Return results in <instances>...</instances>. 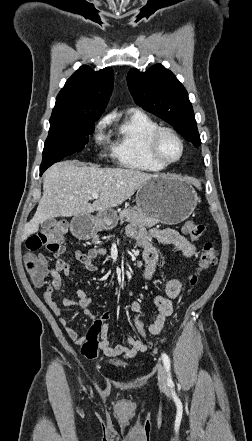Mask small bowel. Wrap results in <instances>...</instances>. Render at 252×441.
I'll return each instance as SVG.
<instances>
[{
  "label": "small bowel",
  "instance_id": "c3829d8e",
  "mask_svg": "<svg viewBox=\"0 0 252 441\" xmlns=\"http://www.w3.org/2000/svg\"><path fill=\"white\" fill-rule=\"evenodd\" d=\"M129 235L134 238L138 245L143 249L144 259V277L150 280L155 272L158 262V251L153 245L154 239L158 240L164 245L173 246L175 249L181 251L186 258H191L195 254V246L188 241L179 232L173 229H150L145 230L142 227L133 226L128 229ZM63 252L55 253V266L50 269L49 273L52 278L51 283L46 287L43 298L45 303L51 309V311L59 318V322L65 328L68 336L78 344H82L84 337L80 336L69 324L68 320L63 316L61 306L54 300L53 294L55 291H59L62 286V275H70V265L67 261L63 260L60 255ZM106 253L105 249H92L90 251L83 252L76 250L74 258L81 263L88 272H95L97 270L94 264V259L102 256ZM182 289L181 282L177 279H172L167 282L165 287V293L163 295H157L154 298V303L157 308V312L152 318L149 326V331L153 335H157L162 330L165 321L173 313V301L179 296ZM78 300H72L67 297L62 298V304L66 307H78L82 309L85 315L95 320L98 315L91 309L93 302L92 297L83 289L77 291ZM132 312L138 314L141 311V305L139 302L134 301L131 303ZM100 349L102 352L111 358L123 357L124 359H133L138 353L145 352L147 346L142 341L129 337L127 339L128 346L112 345L108 339V326L104 325L101 331Z\"/></svg>",
  "mask_w": 252,
  "mask_h": 441
}]
</instances>
